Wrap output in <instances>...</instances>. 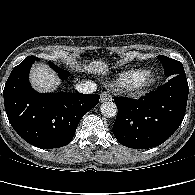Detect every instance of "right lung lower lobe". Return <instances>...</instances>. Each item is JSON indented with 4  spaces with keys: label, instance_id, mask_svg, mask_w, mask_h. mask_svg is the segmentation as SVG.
<instances>
[{
    "label": "right lung lower lobe",
    "instance_id": "98d812e1",
    "mask_svg": "<svg viewBox=\"0 0 195 195\" xmlns=\"http://www.w3.org/2000/svg\"><path fill=\"white\" fill-rule=\"evenodd\" d=\"M37 57L28 56L12 70L3 91L7 117L14 130L39 148H60L74 137L76 128L96 106L98 94L38 93L28 75Z\"/></svg>",
    "mask_w": 195,
    "mask_h": 195
}]
</instances>
